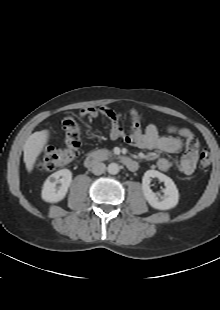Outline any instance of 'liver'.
I'll use <instances>...</instances> for the list:
<instances>
[{
  "instance_id": "obj_1",
  "label": "liver",
  "mask_w": 220,
  "mask_h": 310,
  "mask_svg": "<svg viewBox=\"0 0 220 310\" xmlns=\"http://www.w3.org/2000/svg\"><path fill=\"white\" fill-rule=\"evenodd\" d=\"M49 131L42 130L33 133L28 137L23 147L24 151V163L28 172H31L34 168V164L37 161L38 156L43 151V148L48 142Z\"/></svg>"
}]
</instances>
